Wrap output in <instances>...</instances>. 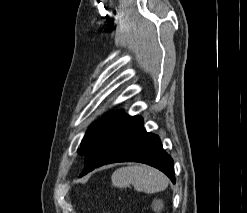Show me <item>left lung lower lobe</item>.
<instances>
[{
  "instance_id": "left-lung-lower-lobe-1",
  "label": "left lung lower lobe",
  "mask_w": 247,
  "mask_h": 213,
  "mask_svg": "<svg viewBox=\"0 0 247 213\" xmlns=\"http://www.w3.org/2000/svg\"><path fill=\"white\" fill-rule=\"evenodd\" d=\"M140 162L164 172L175 183L172 158L162 147L160 138L147 133L140 116L123 114L99 136L85 154L80 177L105 164Z\"/></svg>"
}]
</instances>
